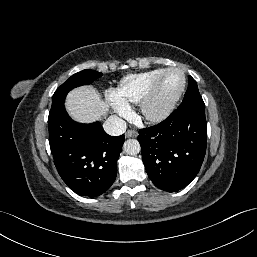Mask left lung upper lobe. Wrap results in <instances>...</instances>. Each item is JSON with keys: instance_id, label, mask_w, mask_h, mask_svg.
Masks as SVG:
<instances>
[{"instance_id": "5c2ea615", "label": "left lung upper lobe", "mask_w": 257, "mask_h": 257, "mask_svg": "<svg viewBox=\"0 0 257 257\" xmlns=\"http://www.w3.org/2000/svg\"><path fill=\"white\" fill-rule=\"evenodd\" d=\"M178 109H205V104L199 93L197 83L191 76L188 77V89Z\"/></svg>"}]
</instances>
